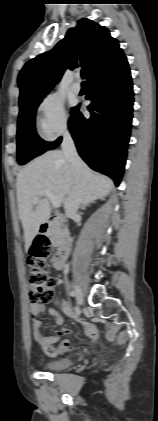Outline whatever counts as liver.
Masks as SVG:
<instances>
[{
  "label": "liver",
  "instance_id": "1",
  "mask_svg": "<svg viewBox=\"0 0 158 421\" xmlns=\"http://www.w3.org/2000/svg\"><path fill=\"white\" fill-rule=\"evenodd\" d=\"M80 186L81 202L89 204L108 195L114 184L110 178L93 172L82 162ZM73 188V172L63 151L60 150L47 151L32 160L18 173L17 200L26 249L38 234L40 225L50 217V203L44 195L40 194L41 191L50 190L61 204L65 202ZM35 197H38V202L34 208Z\"/></svg>",
  "mask_w": 158,
  "mask_h": 421
}]
</instances>
